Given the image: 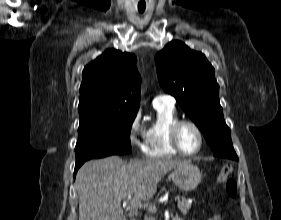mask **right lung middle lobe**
<instances>
[{
    "label": "right lung middle lobe",
    "mask_w": 281,
    "mask_h": 220,
    "mask_svg": "<svg viewBox=\"0 0 281 220\" xmlns=\"http://www.w3.org/2000/svg\"><path fill=\"white\" fill-rule=\"evenodd\" d=\"M136 114L102 115L80 119L76 163L131 152L130 131Z\"/></svg>",
    "instance_id": "dd1d6c3e"
}]
</instances>
